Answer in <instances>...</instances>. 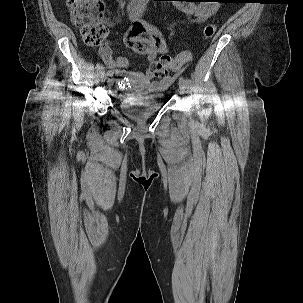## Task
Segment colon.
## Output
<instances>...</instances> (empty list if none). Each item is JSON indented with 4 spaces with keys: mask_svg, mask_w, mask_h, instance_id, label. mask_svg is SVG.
<instances>
[{
    "mask_svg": "<svg viewBox=\"0 0 303 303\" xmlns=\"http://www.w3.org/2000/svg\"><path fill=\"white\" fill-rule=\"evenodd\" d=\"M72 22L77 26L86 45L99 46L107 35V28L102 21L104 6L101 0H67ZM216 32V25L209 23L204 28V37L211 38ZM191 59L189 52H182L173 58L162 54L153 61L150 71L157 77L168 75L171 70H178Z\"/></svg>",
    "mask_w": 303,
    "mask_h": 303,
    "instance_id": "5ec220e1",
    "label": "colon"
}]
</instances>
